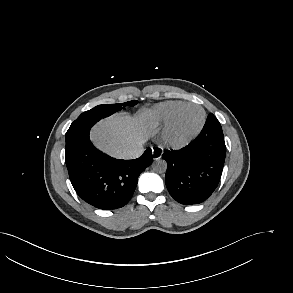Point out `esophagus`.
Wrapping results in <instances>:
<instances>
[{
    "instance_id": "esophagus-1",
    "label": "esophagus",
    "mask_w": 293,
    "mask_h": 293,
    "mask_svg": "<svg viewBox=\"0 0 293 293\" xmlns=\"http://www.w3.org/2000/svg\"><path fill=\"white\" fill-rule=\"evenodd\" d=\"M152 154L154 160H158L162 157L163 149L161 147H154L152 148Z\"/></svg>"
}]
</instances>
